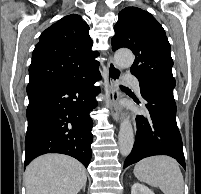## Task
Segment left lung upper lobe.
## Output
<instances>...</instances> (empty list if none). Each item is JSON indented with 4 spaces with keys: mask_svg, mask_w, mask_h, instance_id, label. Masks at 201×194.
<instances>
[{
    "mask_svg": "<svg viewBox=\"0 0 201 194\" xmlns=\"http://www.w3.org/2000/svg\"><path fill=\"white\" fill-rule=\"evenodd\" d=\"M112 38V49L129 48L135 54L130 71L140 83V89L161 87L173 91V60L170 44L160 23L147 11L126 7L118 14Z\"/></svg>",
    "mask_w": 201,
    "mask_h": 194,
    "instance_id": "obj_1",
    "label": "left lung upper lobe"
}]
</instances>
